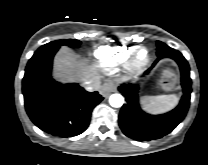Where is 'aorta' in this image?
<instances>
[{
  "instance_id": "1",
  "label": "aorta",
  "mask_w": 208,
  "mask_h": 165,
  "mask_svg": "<svg viewBox=\"0 0 208 165\" xmlns=\"http://www.w3.org/2000/svg\"><path fill=\"white\" fill-rule=\"evenodd\" d=\"M109 103L112 107L119 108L123 105L124 98L121 94L115 93L110 96Z\"/></svg>"
}]
</instances>
